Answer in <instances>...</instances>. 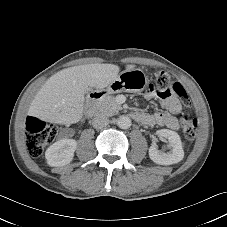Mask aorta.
Returning a JSON list of instances; mask_svg holds the SVG:
<instances>
[{
	"label": "aorta",
	"instance_id": "762f6f07",
	"mask_svg": "<svg viewBox=\"0 0 227 227\" xmlns=\"http://www.w3.org/2000/svg\"><path fill=\"white\" fill-rule=\"evenodd\" d=\"M117 125L121 129H128L131 126V119L122 115L117 119Z\"/></svg>",
	"mask_w": 227,
	"mask_h": 227
}]
</instances>
